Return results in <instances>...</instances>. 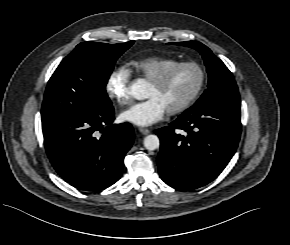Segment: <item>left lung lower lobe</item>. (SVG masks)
<instances>
[{"mask_svg":"<svg viewBox=\"0 0 290 245\" xmlns=\"http://www.w3.org/2000/svg\"><path fill=\"white\" fill-rule=\"evenodd\" d=\"M155 133L162 180L178 190L196 189L214 180L234 155L241 134L240 106L191 107Z\"/></svg>","mask_w":290,"mask_h":245,"instance_id":"left-lung-lower-lobe-1","label":"left lung lower lobe"}]
</instances>
